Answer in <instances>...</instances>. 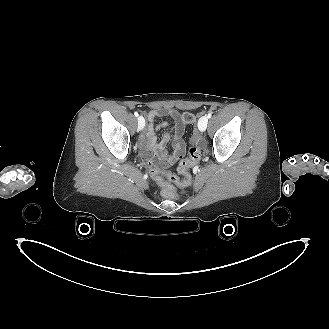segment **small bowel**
Instances as JSON below:
<instances>
[{
    "label": "small bowel",
    "instance_id": "c3829d8e",
    "mask_svg": "<svg viewBox=\"0 0 329 329\" xmlns=\"http://www.w3.org/2000/svg\"><path fill=\"white\" fill-rule=\"evenodd\" d=\"M169 115L173 122V144L172 152L166 150V145L170 140V135L165 134L162 140L158 143L156 139V132L170 125V122L164 121L160 124H155L154 121L157 117ZM148 124L141 136V146L144 149L145 159L153 164L161 167H167L182 157L185 150L183 141L184 126L180 119V113L176 109L169 111L163 108L152 109L146 114Z\"/></svg>",
    "mask_w": 329,
    "mask_h": 329
}]
</instances>
